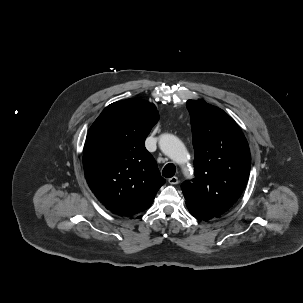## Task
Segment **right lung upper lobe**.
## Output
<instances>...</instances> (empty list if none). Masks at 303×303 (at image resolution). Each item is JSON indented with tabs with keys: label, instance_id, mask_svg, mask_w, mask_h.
Here are the masks:
<instances>
[{
	"label": "right lung upper lobe",
	"instance_id": "1",
	"mask_svg": "<svg viewBox=\"0 0 303 303\" xmlns=\"http://www.w3.org/2000/svg\"><path fill=\"white\" fill-rule=\"evenodd\" d=\"M158 120L153 104L127 99L107 106L89 129L83 151L85 176L98 200L115 214L146 210L165 183L144 146Z\"/></svg>",
	"mask_w": 303,
	"mask_h": 303
}]
</instances>
